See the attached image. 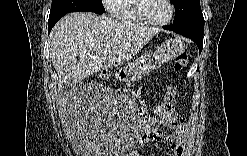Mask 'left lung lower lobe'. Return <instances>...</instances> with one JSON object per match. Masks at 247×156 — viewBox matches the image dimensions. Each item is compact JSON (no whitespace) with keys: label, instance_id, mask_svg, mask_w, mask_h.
I'll list each match as a JSON object with an SVG mask.
<instances>
[{"label":"left lung lower lobe","instance_id":"0a47b994","mask_svg":"<svg viewBox=\"0 0 247 156\" xmlns=\"http://www.w3.org/2000/svg\"><path fill=\"white\" fill-rule=\"evenodd\" d=\"M163 28L193 40L197 44L199 52L202 51L204 34V18L202 11L196 12L192 17L182 23H173V25L163 26Z\"/></svg>","mask_w":247,"mask_h":156}]
</instances>
